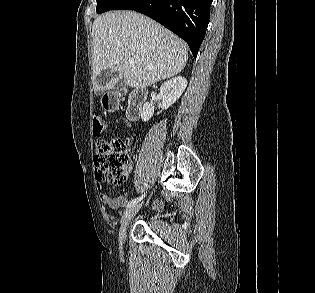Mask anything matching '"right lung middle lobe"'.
<instances>
[{"mask_svg": "<svg viewBox=\"0 0 315 293\" xmlns=\"http://www.w3.org/2000/svg\"><path fill=\"white\" fill-rule=\"evenodd\" d=\"M117 1L118 0H97L96 12L100 14L110 10Z\"/></svg>", "mask_w": 315, "mask_h": 293, "instance_id": "right-lung-middle-lobe-1", "label": "right lung middle lobe"}]
</instances>
